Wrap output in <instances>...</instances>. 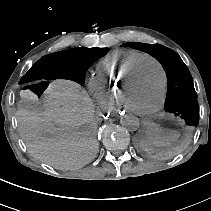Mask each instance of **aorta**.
Returning a JSON list of instances; mask_svg holds the SVG:
<instances>
[{
    "mask_svg": "<svg viewBox=\"0 0 211 211\" xmlns=\"http://www.w3.org/2000/svg\"><path fill=\"white\" fill-rule=\"evenodd\" d=\"M121 125L130 131H136L140 127V121L135 115L126 114L121 119Z\"/></svg>",
    "mask_w": 211,
    "mask_h": 211,
    "instance_id": "762f6f07",
    "label": "aorta"
}]
</instances>
